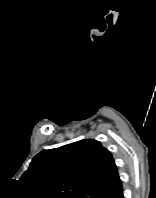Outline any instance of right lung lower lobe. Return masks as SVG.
Returning a JSON list of instances; mask_svg holds the SVG:
<instances>
[{"label": "right lung lower lobe", "mask_w": 156, "mask_h": 198, "mask_svg": "<svg viewBox=\"0 0 156 198\" xmlns=\"http://www.w3.org/2000/svg\"><path fill=\"white\" fill-rule=\"evenodd\" d=\"M113 198H124L123 197V189L119 191Z\"/></svg>", "instance_id": "1"}]
</instances>
